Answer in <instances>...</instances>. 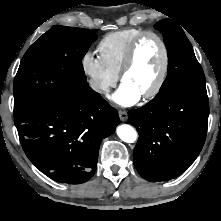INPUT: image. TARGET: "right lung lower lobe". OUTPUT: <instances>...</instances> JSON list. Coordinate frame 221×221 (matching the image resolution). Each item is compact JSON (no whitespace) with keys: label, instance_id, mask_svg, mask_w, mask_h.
<instances>
[{"label":"right lung lower lobe","instance_id":"98d812e1","mask_svg":"<svg viewBox=\"0 0 221 221\" xmlns=\"http://www.w3.org/2000/svg\"><path fill=\"white\" fill-rule=\"evenodd\" d=\"M119 122L116 109L89 86L14 117L29 160L49 178L70 184L94 175L101 141Z\"/></svg>","mask_w":221,"mask_h":221}]
</instances>
